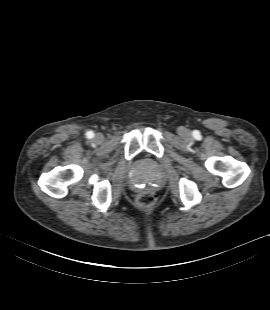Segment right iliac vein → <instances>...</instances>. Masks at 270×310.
Segmentation results:
<instances>
[{"label":"right iliac vein","mask_w":270,"mask_h":310,"mask_svg":"<svg viewBox=\"0 0 270 310\" xmlns=\"http://www.w3.org/2000/svg\"><path fill=\"white\" fill-rule=\"evenodd\" d=\"M104 139V136L102 134H96L94 137V141L98 144L102 143Z\"/></svg>","instance_id":"obj_1"}]
</instances>
